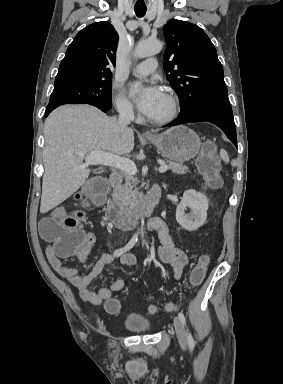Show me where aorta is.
<instances>
[{
  "instance_id": "obj_1",
  "label": "aorta",
  "mask_w": 283,
  "mask_h": 384,
  "mask_svg": "<svg viewBox=\"0 0 283 384\" xmlns=\"http://www.w3.org/2000/svg\"><path fill=\"white\" fill-rule=\"evenodd\" d=\"M162 43L159 40L146 39L138 42L134 55L138 58H145L158 54L162 50Z\"/></svg>"
}]
</instances>
